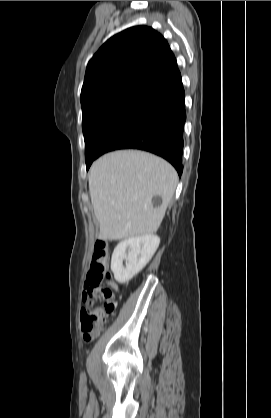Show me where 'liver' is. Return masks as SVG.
Listing matches in <instances>:
<instances>
[{"mask_svg": "<svg viewBox=\"0 0 271 418\" xmlns=\"http://www.w3.org/2000/svg\"><path fill=\"white\" fill-rule=\"evenodd\" d=\"M178 182L172 165L153 154L120 150L97 159L89 172V192L99 222V239L125 240L154 234ZM158 195L162 204L154 207Z\"/></svg>", "mask_w": 271, "mask_h": 418, "instance_id": "obj_1", "label": "liver"}]
</instances>
